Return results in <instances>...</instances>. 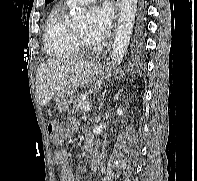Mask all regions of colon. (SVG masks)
Segmentation results:
<instances>
[{
  "mask_svg": "<svg viewBox=\"0 0 197 181\" xmlns=\"http://www.w3.org/2000/svg\"><path fill=\"white\" fill-rule=\"evenodd\" d=\"M48 133L51 136V138L56 142L62 141V129L61 126L58 123H50L48 125Z\"/></svg>",
  "mask_w": 197,
  "mask_h": 181,
  "instance_id": "1",
  "label": "colon"
}]
</instances>
